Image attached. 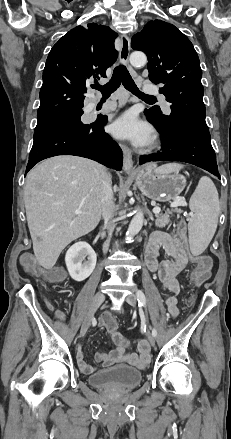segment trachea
<instances>
[{
	"label": "trachea",
	"instance_id": "1",
	"mask_svg": "<svg viewBox=\"0 0 231 439\" xmlns=\"http://www.w3.org/2000/svg\"><path fill=\"white\" fill-rule=\"evenodd\" d=\"M121 83L128 91L143 100H156L154 96L144 94L138 89L124 65H119L114 69L112 78L107 84L103 86L97 84L94 85L93 88L99 90L103 97H109L114 91L117 90Z\"/></svg>",
	"mask_w": 231,
	"mask_h": 439
}]
</instances>
